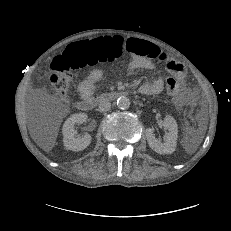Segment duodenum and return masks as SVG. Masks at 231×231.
Returning a JSON list of instances; mask_svg holds the SVG:
<instances>
[{
    "label": "duodenum",
    "mask_w": 231,
    "mask_h": 231,
    "mask_svg": "<svg viewBox=\"0 0 231 231\" xmlns=\"http://www.w3.org/2000/svg\"><path fill=\"white\" fill-rule=\"evenodd\" d=\"M124 93L121 91L103 93L97 97H85L79 101V108L84 111H91L95 108L97 103L102 101H115L120 98Z\"/></svg>",
    "instance_id": "duodenum-1"
}]
</instances>
